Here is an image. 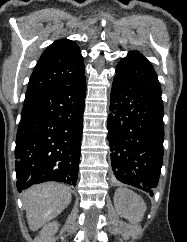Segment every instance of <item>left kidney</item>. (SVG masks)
<instances>
[{
  "label": "left kidney",
  "mask_w": 187,
  "mask_h": 242,
  "mask_svg": "<svg viewBox=\"0 0 187 242\" xmlns=\"http://www.w3.org/2000/svg\"><path fill=\"white\" fill-rule=\"evenodd\" d=\"M114 206L120 216L134 222L141 221L146 211L143 199L133 191L124 188L116 189Z\"/></svg>",
  "instance_id": "obj_1"
}]
</instances>
